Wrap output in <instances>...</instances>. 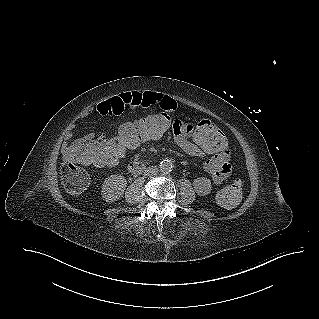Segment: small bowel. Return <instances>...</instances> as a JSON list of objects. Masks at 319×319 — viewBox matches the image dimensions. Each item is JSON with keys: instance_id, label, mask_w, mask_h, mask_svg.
<instances>
[{"instance_id": "1", "label": "small bowel", "mask_w": 319, "mask_h": 319, "mask_svg": "<svg viewBox=\"0 0 319 319\" xmlns=\"http://www.w3.org/2000/svg\"><path fill=\"white\" fill-rule=\"evenodd\" d=\"M129 106L143 108L159 107L166 111H174L177 108V104L172 98L165 96L161 93L151 91L127 92L119 94L118 96L113 98L103 99L101 103L96 107L95 113L101 115L106 119L119 120L124 117L126 113V108ZM165 120L167 123L166 118ZM127 124L122 125L120 128ZM168 128L169 126L167 124V130ZM170 129L172 130L175 143L187 154L194 157H203L206 154L212 155V157L206 160L204 164V169L211 176L212 181L215 184H221L228 178V176L231 173V164L229 161V152L231 151V148L229 146H226L223 152L217 154L210 153L206 150L199 148L197 144L188 140L186 136H183L189 135L191 133V130L193 129V122L184 121L183 117H180L179 121H171ZM72 134L73 131H69L67 133V136L63 144L65 149L71 146L69 143V139L72 136ZM100 139L106 140L107 138Z\"/></svg>"}]
</instances>
